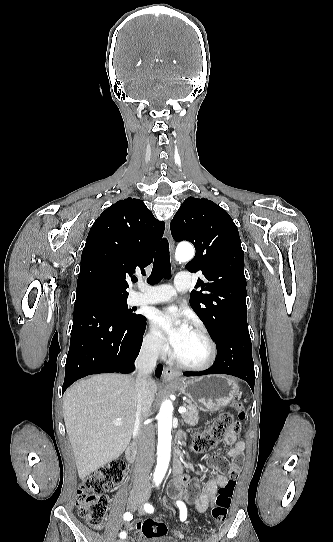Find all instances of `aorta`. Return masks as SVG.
<instances>
[{"label": "aorta", "mask_w": 333, "mask_h": 542, "mask_svg": "<svg viewBox=\"0 0 333 542\" xmlns=\"http://www.w3.org/2000/svg\"><path fill=\"white\" fill-rule=\"evenodd\" d=\"M193 256L194 250L192 246L186 244V246L180 250L181 260H179V262H187V260H190ZM172 418L173 404L170 400H165V402L161 404L158 414V458L153 476L156 486L161 484L170 462Z\"/></svg>", "instance_id": "1"}]
</instances>
